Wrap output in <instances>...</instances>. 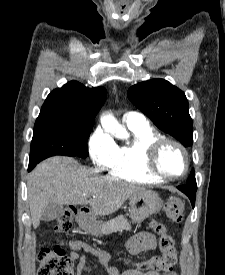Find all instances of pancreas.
I'll return each instance as SVG.
<instances>
[{"label":"pancreas","mask_w":225,"mask_h":275,"mask_svg":"<svg viewBox=\"0 0 225 275\" xmlns=\"http://www.w3.org/2000/svg\"><path fill=\"white\" fill-rule=\"evenodd\" d=\"M123 230H131L130 223L123 215L106 222L101 227V232L104 234L116 233Z\"/></svg>","instance_id":"obj_1"}]
</instances>
